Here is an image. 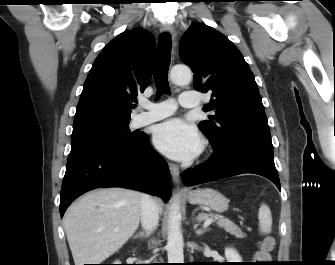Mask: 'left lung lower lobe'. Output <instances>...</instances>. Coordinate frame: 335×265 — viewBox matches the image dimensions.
<instances>
[{
    "instance_id": "obj_1",
    "label": "left lung lower lobe",
    "mask_w": 335,
    "mask_h": 265,
    "mask_svg": "<svg viewBox=\"0 0 335 265\" xmlns=\"http://www.w3.org/2000/svg\"><path fill=\"white\" fill-rule=\"evenodd\" d=\"M213 149L214 154L208 162L184 171L186 186L254 173L268 178L281 190L272 147L251 141H233Z\"/></svg>"
}]
</instances>
